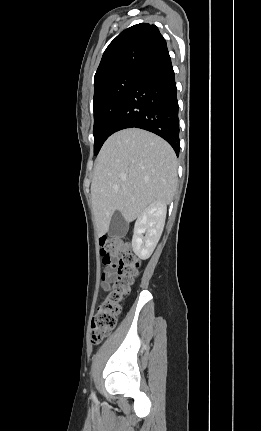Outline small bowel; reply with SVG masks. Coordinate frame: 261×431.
<instances>
[{"mask_svg": "<svg viewBox=\"0 0 261 431\" xmlns=\"http://www.w3.org/2000/svg\"><path fill=\"white\" fill-rule=\"evenodd\" d=\"M114 277V268L112 266H108L103 274H102V289L107 291L110 287V282Z\"/></svg>", "mask_w": 261, "mask_h": 431, "instance_id": "1", "label": "small bowel"}]
</instances>
